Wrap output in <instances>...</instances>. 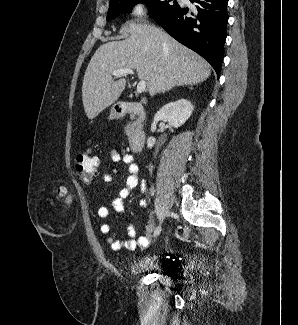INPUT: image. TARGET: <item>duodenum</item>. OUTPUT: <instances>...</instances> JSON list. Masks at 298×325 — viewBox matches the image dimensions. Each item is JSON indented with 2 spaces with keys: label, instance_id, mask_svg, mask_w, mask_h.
I'll return each mask as SVG.
<instances>
[{
  "label": "duodenum",
  "instance_id": "duodenum-1",
  "mask_svg": "<svg viewBox=\"0 0 298 325\" xmlns=\"http://www.w3.org/2000/svg\"><path fill=\"white\" fill-rule=\"evenodd\" d=\"M120 116L131 115L134 119H139L145 113L143 103L124 102L120 104L117 110ZM146 135L140 129H134L129 136V146L133 152H140L145 144Z\"/></svg>",
  "mask_w": 298,
  "mask_h": 325
}]
</instances>
